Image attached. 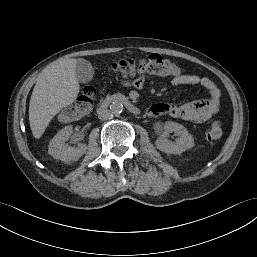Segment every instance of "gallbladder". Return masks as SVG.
<instances>
[{
	"mask_svg": "<svg viewBox=\"0 0 257 257\" xmlns=\"http://www.w3.org/2000/svg\"><path fill=\"white\" fill-rule=\"evenodd\" d=\"M76 77L79 82L87 83L93 79L94 69L86 59H78L76 64Z\"/></svg>",
	"mask_w": 257,
	"mask_h": 257,
	"instance_id": "1",
	"label": "gallbladder"
}]
</instances>
